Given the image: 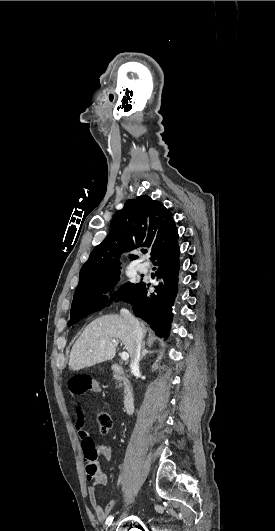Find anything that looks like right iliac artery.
<instances>
[{"mask_svg":"<svg viewBox=\"0 0 275 531\" xmlns=\"http://www.w3.org/2000/svg\"><path fill=\"white\" fill-rule=\"evenodd\" d=\"M113 519H114V517H113L112 515L109 516V517L106 519L105 524H106L107 527H109V526L111 525Z\"/></svg>","mask_w":275,"mask_h":531,"instance_id":"right-iliac-artery-1","label":"right iliac artery"}]
</instances>
